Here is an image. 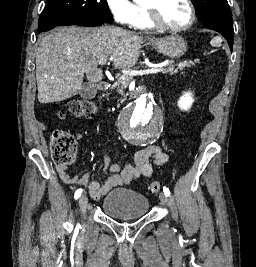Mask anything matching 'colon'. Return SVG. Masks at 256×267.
I'll list each match as a JSON object with an SVG mask.
<instances>
[{
  "label": "colon",
  "mask_w": 256,
  "mask_h": 267,
  "mask_svg": "<svg viewBox=\"0 0 256 267\" xmlns=\"http://www.w3.org/2000/svg\"><path fill=\"white\" fill-rule=\"evenodd\" d=\"M97 104L92 98L73 99L69 102L66 110L61 111V117L70 114L75 118L86 117L93 114ZM77 142L75 138L63 131L55 132L52 136L53 156L57 163L70 165L75 157ZM152 193H159L162 190V183L155 181L149 184Z\"/></svg>",
  "instance_id": "colon-1"
}]
</instances>
